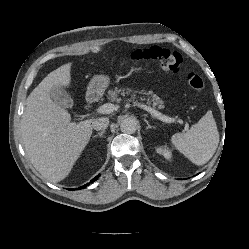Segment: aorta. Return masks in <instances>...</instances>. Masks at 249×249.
I'll list each match as a JSON object with an SVG mask.
<instances>
[{"label": "aorta", "instance_id": "obj_1", "mask_svg": "<svg viewBox=\"0 0 249 249\" xmlns=\"http://www.w3.org/2000/svg\"><path fill=\"white\" fill-rule=\"evenodd\" d=\"M120 129L123 133L133 134L137 130V123L132 118L124 119L120 124Z\"/></svg>", "mask_w": 249, "mask_h": 249}]
</instances>
